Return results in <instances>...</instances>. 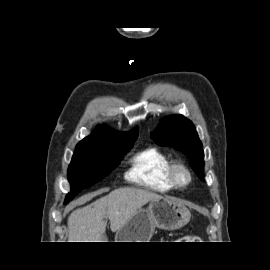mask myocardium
Instances as JSON below:
<instances>
[{"label": "myocardium", "mask_w": 270, "mask_h": 270, "mask_svg": "<svg viewBox=\"0 0 270 270\" xmlns=\"http://www.w3.org/2000/svg\"><path fill=\"white\" fill-rule=\"evenodd\" d=\"M180 173L186 176L185 181H181L179 178ZM169 179L173 186L178 189L187 188L192 182V173L187 165L181 161H172L168 171Z\"/></svg>", "instance_id": "myocardium-1"}]
</instances>
